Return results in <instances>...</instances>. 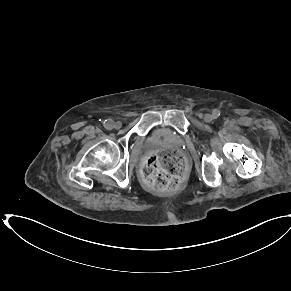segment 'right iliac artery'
<instances>
[{
    "instance_id": "obj_1",
    "label": "right iliac artery",
    "mask_w": 291,
    "mask_h": 291,
    "mask_svg": "<svg viewBox=\"0 0 291 291\" xmlns=\"http://www.w3.org/2000/svg\"><path fill=\"white\" fill-rule=\"evenodd\" d=\"M114 122L112 120H105L104 127L108 130L113 128Z\"/></svg>"
}]
</instances>
